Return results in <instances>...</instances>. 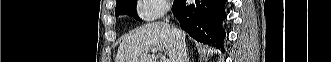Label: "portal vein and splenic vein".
Returning <instances> with one entry per match:
<instances>
[{
  "mask_svg": "<svg viewBox=\"0 0 331 62\" xmlns=\"http://www.w3.org/2000/svg\"><path fill=\"white\" fill-rule=\"evenodd\" d=\"M157 49L156 48H152V52H156ZM164 62H171V60L167 59V60H164Z\"/></svg>",
  "mask_w": 331,
  "mask_h": 62,
  "instance_id": "portal-vein-and-splenic-vein-1",
  "label": "portal vein and splenic vein"
}]
</instances>
